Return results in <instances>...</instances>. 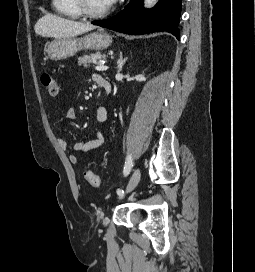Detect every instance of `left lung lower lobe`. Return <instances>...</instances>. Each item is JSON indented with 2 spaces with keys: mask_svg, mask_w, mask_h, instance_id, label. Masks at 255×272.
<instances>
[{
  "mask_svg": "<svg viewBox=\"0 0 255 272\" xmlns=\"http://www.w3.org/2000/svg\"><path fill=\"white\" fill-rule=\"evenodd\" d=\"M181 1L159 0L154 8L146 10L142 6L143 0H130L125 9L115 17L92 24L133 35L166 31L179 39Z\"/></svg>",
  "mask_w": 255,
  "mask_h": 272,
  "instance_id": "obj_1",
  "label": "left lung lower lobe"
}]
</instances>
